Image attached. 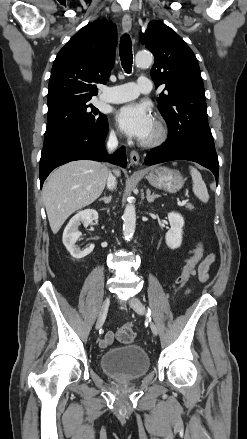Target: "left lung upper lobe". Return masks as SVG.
<instances>
[{"mask_svg": "<svg viewBox=\"0 0 247 439\" xmlns=\"http://www.w3.org/2000/svg\"><path fill=\"white\" fill-rule=\"evenodd\" d=\"M143 36L155 57L151 69L155 86L166 85L157 102L169 136L181 144L216 152L208 125L204 85L193 51L160 21L150 22Z\"/></svg>", "mask_w": 247, "mask_h": 439, "instance_id": "left-lung-upper-lobe-1", "label": "left lung upper lobe"}]
</instances>
